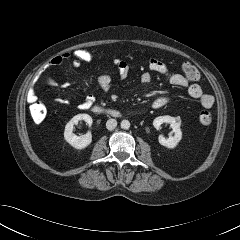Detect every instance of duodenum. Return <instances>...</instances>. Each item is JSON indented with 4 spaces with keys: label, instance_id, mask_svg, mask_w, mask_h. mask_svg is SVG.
I'll list each match as a JSON object with an SVG mask.
<instances>
[{
    "label": "duodenum",
    "instance_id": "duodenum-1",
    "mask_svg": "<svg viewBox=\"0 0 240 240\" xmlns=\"http://www.w3.org/2000/svg\"><path fill=\"white\" fill-rule=\"evenodd\" d=\"M93 111H95V112H102L103 109H102L101 107H99V106H94V107H93ZM111 114H113V115H118V112H116V111H111Z\"/></svg>",
    "mask_w": 240,
    "mask_h": 240
}]
</instances>
